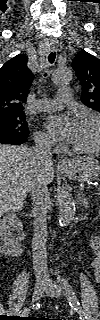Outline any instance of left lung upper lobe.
<instances>
[{"label":"left lung upper lobe","mask_w":100,"mask_h":320,"mask_svg":"<svg viewBox=\"0 0 100 320\" xmlns=\"http://www.w3.org/2000/svg\"><path fill=\"white\" fill-rule=\"evenodd\" d=\"M72 67L82 85L81 101L100 112V60L81 50L75 56Z\"/></svg>","instance_id":"left-lung-upper-lobe-1"}]
</instances>
